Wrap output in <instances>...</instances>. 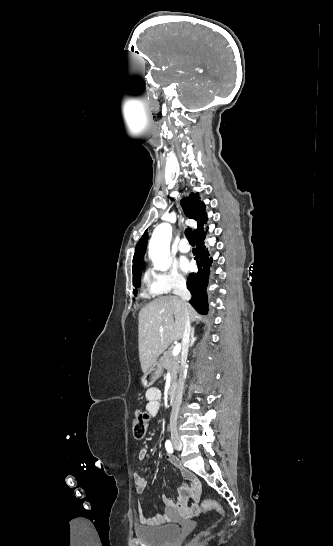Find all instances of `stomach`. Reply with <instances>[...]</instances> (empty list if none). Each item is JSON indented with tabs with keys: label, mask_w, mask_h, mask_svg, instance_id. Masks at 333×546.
<instances>
[{
	"label": "stomach",
	"mask_w": 333,
	"mask_h": 546,
	"mask_svg": "<svg viewBox=\"0 0 333 546\" xmlns=\"http://www.w3.org/2000/svg\"><path fill=\"white\" fill-rule=\"evenodd\" d=\"M163 368L160 361H156L142 377V383L144 386H151L158 378L161 377Z\"/></svg>",
	"instance_id": "stomach-1"
}]
</instances>
